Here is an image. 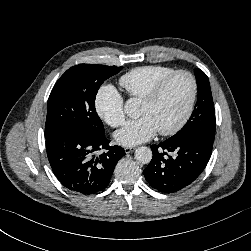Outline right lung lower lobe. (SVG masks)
<instances>
[{
	"instance_id": "1",
	"label": "right lung lower lobe",
	"mask_w": 251,
	"mask_h": 251,
	"mask_svg": "<svg viewBox=\"0 0 251 251\" xmlns=\"http://www.w3.org/2000/svg\"><path fill=\"white\" fill-rule=\"evenodd\" d=\"M104 135L83 128H65L46 137L51 168L70 191L91 195L104 190L118 160L125 155L120 146H110ZM104 153L97 156L100 150Z\"/></svg>"
}]
</instances>
